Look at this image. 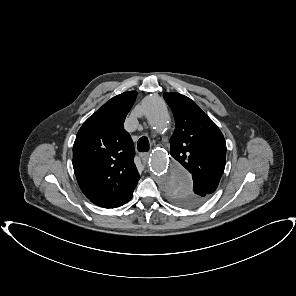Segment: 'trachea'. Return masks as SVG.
Returning a JSON list of instances; mask_svg holds the SVG:
<instances>
[{
    "instance_id": "3493384b",
    "label": "trachea",
    "mask_w": 296,
    "mask_h": 296,
    "mask_svg": "<svg viewBox=\"0 0 296 296\" xmlns=\"http://www.w3.org/2000/svg\"><path fill=\"white\" fill-rule=\"evenodd\" d=\"M149 141L147 137H141L137 143V149L139 152H147L149 151Z\"/></svg>"
}]
</instances>
